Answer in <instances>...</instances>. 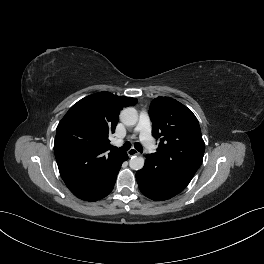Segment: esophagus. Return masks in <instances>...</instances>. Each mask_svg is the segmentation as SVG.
I'll use <instances>...</instances> for the list:
<instances>
[{
  "label": "esophagus",
  "instance_id": "esophagus-1",
  "mask_svg": "<svg viewBox=\"0 0 264 264\" xmlns=\"http://www.w3.org/2000/svg\"><path fill=\"white\" fill-rule=\"evenodd\" d=\"M127 154L129 157H132L134 155H139V152L136 149L131 148L130 150H128Z\"/></svg>",
  "mask_w": 264,
  "mask_h": 264
}]
</instances>
